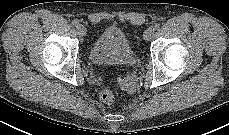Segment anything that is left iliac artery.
I'll return each instance as SVG.
<instances>
[{"instance_id": "obj_1", "label": "left iliac artery", "mask_w": 229, "mask_h": 135, "mask_svg": "<svg viewBox=\"0 0 229 135\" xmlns=\"http://www.w3.org/2000/svg\"><path fill=\"white\" fill-rule=\"evenodd\" d=\"M154 28L157 30V29H159L160 28V24L159 23H156L155 25H154Z\"/></svg>"}]
</instances>
